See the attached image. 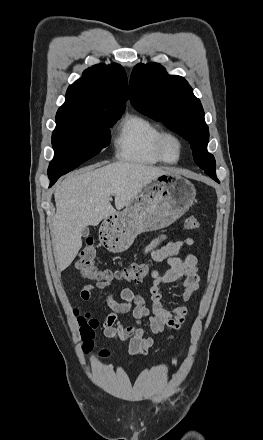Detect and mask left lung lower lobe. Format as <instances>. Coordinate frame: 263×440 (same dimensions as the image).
Returning a JSON list of instances; mask_svg holds the SVG:
<instances>
[{
    "label": "left lung lower lobe",
    "instance_id": "1",
    "mask_svg": "<svg viewBox=\"0 0 263 440\" xmlns=\"http://www.w3.org/2000/svg\"><path fill=\"white\" fill-rule=\"evenodd\" d=\"M216 182H218L219 183V180L218 179H214Z\"/></svg>",
    "mask_w": 263,
    "mask_h": 440
}]
</instances>
